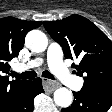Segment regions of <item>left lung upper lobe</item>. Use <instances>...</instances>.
<instances>
[{
    "mask_svg": "<svg viewBox=\"0 0 112 112\" xmlns=\"http://www.w3.org/2000/svg\"><path fill=\"white\" fill-rule=\"evenodd\" d=\"M51 37L58 42L66 58H79L73 64L84 77L82 90L112 94V42L91 21L72 15L57 21H44Z\"/></svg>",
    "mask_w": 112,
    "mask_h": 112,
    "instance_id": "5c2ea615",
    "label": "left lung upper lobe"
}]
</instances>
